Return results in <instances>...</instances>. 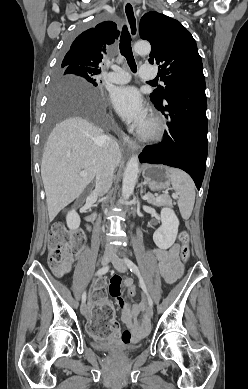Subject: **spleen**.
<instances>
[{"instance_id":"spleen-1","label":"spleen","mask_w":248,"mask_h":389,"mask_svg":"<svg viewBox=\"0 0 248 389\" xmlns=\"http://www.w3.org/2000/svg\"><path fill=\"white\" fill-rule=\"evenodd\" d=\"M168 175L173 189L178 195V207L183 219L190 218L195 203V185L191 177L184 171L168 168Z\"/></svg>"}]
</instances>
